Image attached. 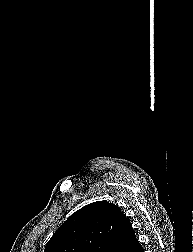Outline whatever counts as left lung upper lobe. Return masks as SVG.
I'll list each match as a JSON object with an SVG mask.
<instances>
[{
  "label": "left lung upper lobe",
  "mask_w": 193,
  "mask_h": 252,
  "mask_svg": "<svg viewBox=\"0 0 193 252\" xmlns=\"http://www.w3.org/2000/svg\"><path fill=\"white\" fill-rule=\"evenodd\" d=\"M133 236L130 221L115 204L97 201L72 214L44 252H123Z\"/></svg>",
  "instance_id": "left-lung-upper-lobe-1"
}]
</instances>
